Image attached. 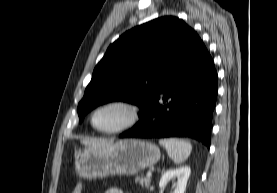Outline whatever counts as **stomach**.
I'll return each mask as SVG.
<instances>
[{"label":"stomach","mask_w":277,"mask_h":193,"mask_svg":"<svg viewBox=\"0 0 277 193\" xmlns=\"http://www.w3.org/2000/svg\"><path fill=\"white\" fill-rule=\"evenodd\" d=\"M160 156L159 148L152 142L125 139L101 148L79 149L75 154V170L84 179L134 175L157 163Z\"/></svg>","instance_id":"stomach-1"}]
</instances>
